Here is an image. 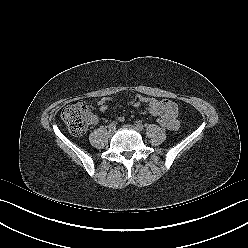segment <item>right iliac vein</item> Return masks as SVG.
Here are the masks:
<instances>
[{"mask_svg": "<svg viewBox=\"0 0 248 248\" xmlns=\"http://www.w3.org/2000/svg\"><path fill=\"white\" fill-rule=\"evenodd\" d=\"M108 133H109V136H112L114 134V130L113 129H111V130L109 129V132Z\"/></svg>", "mask_w": 248, "mask_h": 248, "instance_id": "63e3f726", "label": "right iliac vein"}]
</instances>
